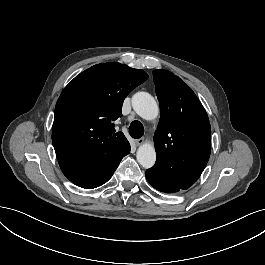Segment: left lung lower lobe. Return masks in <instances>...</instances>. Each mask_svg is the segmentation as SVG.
<instances>
[{"instance_id":"1","label":"left lung lower lobe","mask_w":265,"mask_h":265,"mask_svg":"<svg viewBox=\"0 0 265 265\" xmlns=\"http://www.w3.org/2000/svg\"><path fill=\"white\" fill-rule=\"evenodd\" d=\"M146 178L148 182L158 191L164 193H176L181 191L182 189L177 185L169 182L165 178L153 173L149 169L146 171Z\"/></svg>"}]
</instances>
